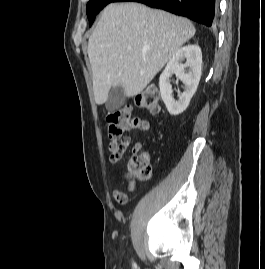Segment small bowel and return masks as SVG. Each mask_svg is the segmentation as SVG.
Returning a JSON list of instances; mask_svg holds the SVG:
<instances>
[{
    "mask_svg": "<svg viewBox=\"0 0 265 269\" xmlns=\"http://www.w3.org/2000/svg\"><path fill=\"white\" fill-rule=\"evenodd\" d=\"M144 123L145 127L141 131H147L149 129V123L146 120H144ZM128 144L129 140L126 143L120 142L118 140H112L108 145V149L110 152V161L113 163L118 162L125 153ZM130 188L133 189L134 187L131 186ZM113 197L120 205H124L127 202V195L119 190L113 191Z\"/></svg>",
    "mask_w": 265,
    "mask_h": 269,
    "instance_id": "1",
    "label": "small bowel"
}]
</instances>
